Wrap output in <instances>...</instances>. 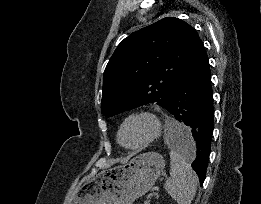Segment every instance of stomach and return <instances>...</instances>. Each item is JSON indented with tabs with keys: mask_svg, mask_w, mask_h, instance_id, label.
I'll use <instances>...</instances> for the list:
<instances>
[{
	"mask_svg": "<svg viewBox=\"0 0 261 204\" xmlns=\"http://www.w3.org/2000/svg\"><path fill=\"white\" fill-rule=\"evenodd\" d=\"M164 166L159 153L140 154L83 181L72 204H133L153 187Z\"/></svg>",
	"mask_w": 261,
	"mask_h": 204,
	"instance_id": "obj_1",
	"label": "stomach"
}]
</instances>
